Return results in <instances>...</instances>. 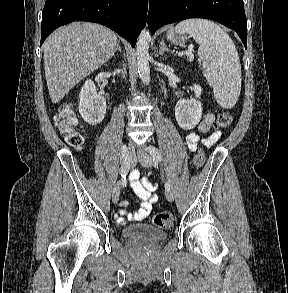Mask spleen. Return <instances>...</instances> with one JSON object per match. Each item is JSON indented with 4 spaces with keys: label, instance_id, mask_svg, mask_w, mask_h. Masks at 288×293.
Returning a JSON list of instances; mask_svg holds the SVG:
<instances>
[{
    "label": "spleen",
    "instance_id": "3e777b00",
    "mask_svg": "<svg viewBox=\"0 0 288 293\" xmlns=\"http://www.w3.org/2000/svg\"><path fill=\"white\" fill-rule=\"evenodd\" d=\"M189 33L199 44L198 55L204 76L219 105L233 107L241 91V65L234 42L216 23L207 19H188L175 28Z\"/></svg>",
    "mask_w": 288,
    "mask_h": 293
}]
</instances>
